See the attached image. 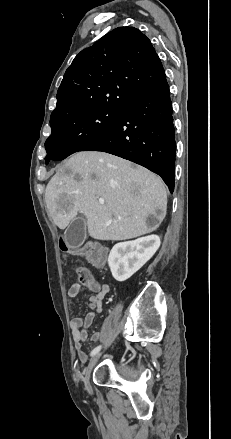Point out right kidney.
I'll list each match as a JSON object with an SVG mask.
<instances>
[{
  "mask_svg": "<svg viewBox=\"0 0 231 439\" xmlns=\"http://www.w3.org/2000/svg\"><path fill=\"white\" fill-rule=\"evenodd\" d=\"M160 243L159 236L149 235L114 245L108 257L112 276L120 282L130 278L155 254Z\"/></svg>",
  "mask_w": 231,
  "mask_h": 439,
  "instance_id": "obj_1",
  "label": "right kidney"
}]
</instances>
